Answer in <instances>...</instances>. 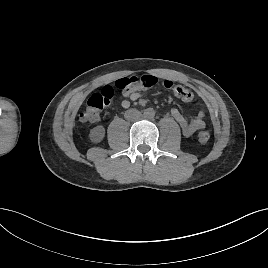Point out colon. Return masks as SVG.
Listing matches in <instances>:
<instances>
[{
	"label": "colon",
	"mask_w": 268,
	"mask_h": 268,
	"mask_svg": "<svg viewBox=\"0 0 268 268\" xmlns=\"http://www.w3.org/2000/svg\"><path fill=\"white\" fill-rule=\"evenodd\" d=\"M158 79L153 75H142L125 77L117 80L115 85H106L100 92L92 94L86 104L85 109L80 114V119L85 123H94L101 118L102 111L107 107L115 94V88L127 94L133 90H145L154 87ZM163 86L166 90L173 93L177 98L194 103L196 102L194 93L187 87L175 84L170 80H165ZM198 142L205 144L210 139L208 131H202L198 134Z\"/></svg>",
	"instance_id": "obj_1"
}]
</instances>
